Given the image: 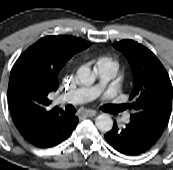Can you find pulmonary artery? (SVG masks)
Returning a JSON list of instances; mask_svg holds the SVG:
<instances>
[{"instance_id":"e3ab8cb5","label":"pulmonary artery","mask_w":173,"mask_h":170,"mask_svg":"<svg viewBox=\"0 0 173 170\" xmlns=\"http://www.w3.org/2000/svg\"><path fill=\"white\" fill-rule=\"evenodd\" d=\"M95 70L98 79L96 84L69 91L62 95V100L72 104H81L98 97L108 83L114 78L116 71L113 67L101 62L97 63ZM127 120V116L123 118V121L126 122Z\"/></svg>"}]
</instances>
